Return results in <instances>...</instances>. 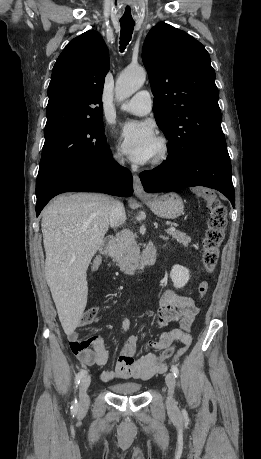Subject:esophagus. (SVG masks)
<instances>
[{
    "label": "esophagus",
    "instance_id": "esophagus-1",
    "mask_svg": "<svg viewBox=\"0 0 261 459\" xmlns=\"http://www.w3.org/2000/svg\"><path fill=\"white\" fill-rule=\"evenodd\" d=\"M133 188H134V194L137 197H147V193L144 190L141 180L137 174L133 175Z\"/></svg>",
    "mask_w": 261,
    "mask_h": 459
}]
</instances>
